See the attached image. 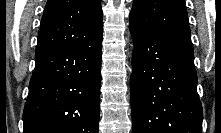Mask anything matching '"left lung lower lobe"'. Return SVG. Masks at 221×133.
Segmentation results:
<instances>
[{
    "label": "left lung lower lobe",
    "instance_id": "left-lung-lower-lobe-1",
    "mask_svg": "<svg viewBox=\"0 0 221 133\" xmlns=\"http://www.w3.org/2000/svg\"><path fill=\"white\" fill-rule=\"evenodd\" d=\"M134 39L130 82L133 133H202L190 39L129 26Z\"/></svg>",
    "mask_w": 221,
    "mask_h": 133
}]
</instances>
